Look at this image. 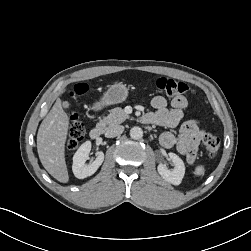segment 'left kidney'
I'll return each mask as SVG.
<instances>
[{
    "instance_id": "obj_1",
    "label": "left kidney",
    "mask_w": 251,
    "mask_h": 251,
    "mask_svg": "<svg viewBox=\"0 0 251 251\" xmlns=\"http://www.w3.org/2000/svg\"><path fill=\"white\" fill-rule=\"evenodd\" d=\"M169 157L174 163L173 170H169L164 164H159L157 167L158 173L167 182L173 185H179L185 174V165L182 159L175 153H169Z\"/></svg>"
}]
</instances>
